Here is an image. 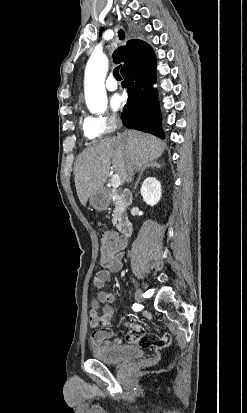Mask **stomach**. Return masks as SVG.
<instances>
[{"label":"stomach","instance_id":"0dacf381","mask_svg":"<svg viewBox=\"0 0 247 413\" xmlns=\"http://www.w3.org/2000/svg\"><path fill=\"white\" fill-rule=\"evenodd\" d=\"M89 202L96 211H105L110 202V196L105 188H100V190H95L90 194Z\"/></svg>","mask_w":247,"mask_h":413}]
</instances>
